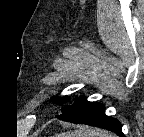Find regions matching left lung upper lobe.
I'll list each match as a JSON object with an SVG mask.
<instances>
[{
  "label": "left lung upper lobe",
  "instance_id": "5c2ea615",
  "mask_svg": "<svg viewBox=\"0 0 144 137\" xmlns=\"http://www.w3.org/2000/svg\"><path fill=\"white\" fill-rule=\"evenodd\" d=\"M60 100H61V99H57V98H53V99H52V101H53L54 103H59ZM65 100H66V97L64 98L63 102H64ZM68 106H69V105H66V106H64L62 109L66 108V107H68ZM62 109H61V110H62Z\"/></svg>",
  "mask_w": 144,
  "mask_h": 137
}]
</instances>
